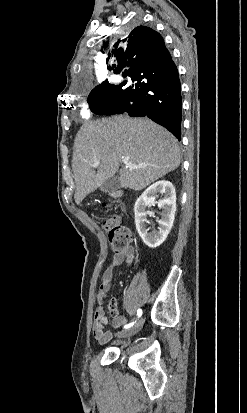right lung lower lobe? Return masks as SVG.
I'll use <instances>...</instances> for the list:
<instances>
[{
	"instance_id": "1",
	"label": "right lung lower lobe",
	"mask_w": 247,
	"mask_h": 413,
	"mask_svg": "<svg viewBox=\"0 0 247 413\" xmlns=\"http://www.w3.org/2000/svg\"><path fill=\"white\" fill-rule=\"evenodd\" d=\"M133 82L107 105L103 115L128 113L144 117L168 129L181 140V88L178 70L173 60L153 73L128 76Z\"/></svg>"
}]
</instances>
